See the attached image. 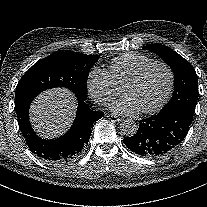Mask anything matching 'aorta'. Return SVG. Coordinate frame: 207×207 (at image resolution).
Wrapping results in <instances>:
<instances>
[{
	"mask_svg": "<svg viewBox=\"0 0 207 207\" xmlns=\"http://www.w3.org/2000/svg\"><path fill=\"white\" fill-rule=\"evenodd\" d=\"M120 131L127 137L134 136L137 133L138 126L132 119H125L120 123Z\"/></svg>",
	"mask_w": 207,
	"mask_h": 207,
	"instance_id": "762f6f07",
	"label": "aorta"
}]
</instances>
